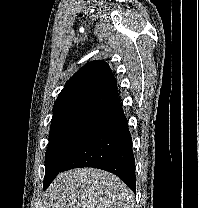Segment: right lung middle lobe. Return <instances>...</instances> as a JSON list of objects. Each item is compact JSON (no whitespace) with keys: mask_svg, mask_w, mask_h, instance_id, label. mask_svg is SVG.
Here are the masks:
<instances>
[{"mask_svg":"<svg viewBox=\"0 0 199 208\" xmlns=\"http://www.w3.org/2000/svg\"><path fill=\"white\" fill-rule=\"evenodd\" d=\"M99 110L96 107L80 108L53 116L46 151L44 182L60 171Z\"/></svg>","mask_w":199,"mask_h":208,"instance_id":"dd1d6c3e","label":"right lung middle lobe"}]
</instances>
